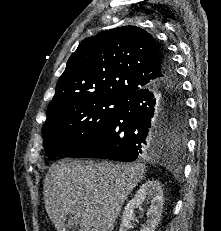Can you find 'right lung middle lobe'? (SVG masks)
Instances as JSON below:
<instances>
[{
  "mask_svg": "<svg viewBox=\"0 0 221 231\" xmlns=\"http://www.w3.org/2000/svg\"><path fill=\"white\" fill-rule=\"evenodd\" d=\"M124 101L115 96H90L64 105L48 116L42 127L44 150L50 158L65 155L101 129ZM163 123L164 135L182 149L187 131L185 102L168 104Z\"/></svg>",
  "mask_w": 221,
  "mask_h": 231,
  "instance_id": "1",
  "label": "right lung middle lobe"
}]
</instances>
